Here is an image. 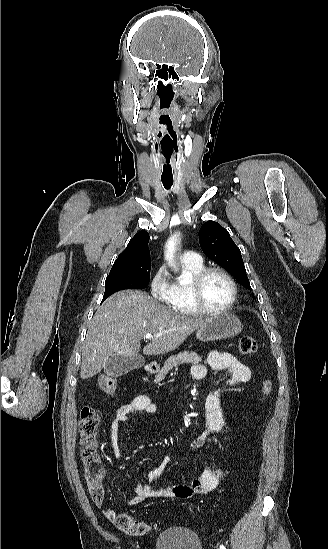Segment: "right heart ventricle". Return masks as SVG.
I'll return each instance as SVG.
<instances>
[{
    "mask_svg": "<svg viewBox=\"0 0 328 549\" xmlns=\"http://www.w3.org/2000/svg\"><path fill=\"white\" fill-rule=\"evenodd\" d=\"M180 262L185 279H175L169 282L168 292L162 303H169L170 310H180V319H199L189 308L192 302L188 293V282L192 275L206 265V261L202 256L197 255L194 260L181 258Z\"/></svg>",
    "mask_w": 328,
    "mask_h": 549,
    "instance_id": "e07e8e85",
    "label": "right heart ventricle"
}]
</instances>
